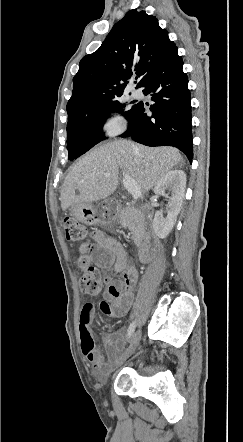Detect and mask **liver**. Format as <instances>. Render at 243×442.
<instances>
[{"instance_id":"obj_1","label":"liver","mask_w":243,"mask_h":442,"mask_svg":"<svg viewBox=\"0 0 243 442\" xmlns=\"http://www.w3.org/2000/svg\"><path fill=\"white\" fill-rule=\"evenodd\" d=\"M181 161L173 147H147L128 140L100 145L72 166L62 186L61 207L65 211L108 198L118 186L119 168L148 191Z\"/></svg>"}]
</instances>
